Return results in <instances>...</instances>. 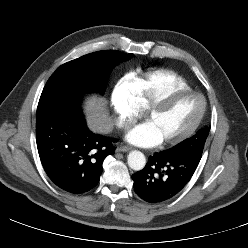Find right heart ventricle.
<instances>
[{"instance_id": "1", "label": "right heart ventricle", "mask_w": 248, "mask_h": 248, "mask_svg": "<svg viewBox=\"0 0 248 248\" xmlns=\"http://www.w3.org/2000/svg\"><path fill=\"white\" fill-rule=\"evenodd\" d=\"M133 91L142 109L173 90H192L188 82L170 70H157L142 76L132 75L124 81Z\"/></svg>"}]
</instances>
